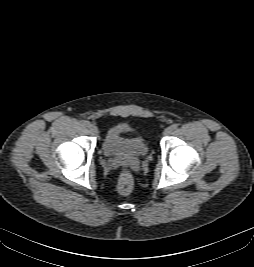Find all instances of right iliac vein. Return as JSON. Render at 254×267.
<instances>
[{"mask_svg":"<svg viewBox=\"0 0 254 267\" xmlns=\"http://www.w3.org/2000/svg\"><path fill=\"white\" fill-rule=\"evenodd\" d=\"M89 131H90L91 134H93V135H97L98 132H99L97 126H95L94 124H90V125H89Z\"/></svg>","mask_w":254,"mask_h":267,"instance_id":"right-iliac-vein-1","label":"right iliac vein"}]
</instances>
